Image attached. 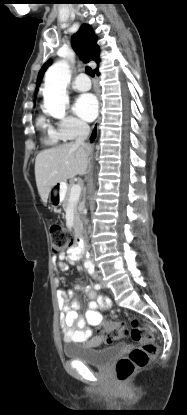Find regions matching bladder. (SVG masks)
<instances>
[{
	"mask_svg": "<svg viewBox=\"0 0 187 415\" xmlns=\"http://www.w3.org/2000/svg\"><path fill=\"white\" fill-rule=\"evenodd\" d=\"M123 349L122 344H116L101 350H93L82 345H65L63 352L69 359H77L94 367L105 368L113 359L122 354Z\"/></svg>",
	"mask_w": 187,
	"mask_h": 415,
	"instance_id": "31cf9c89",
	"label": "bladder"
}]
</instances>
